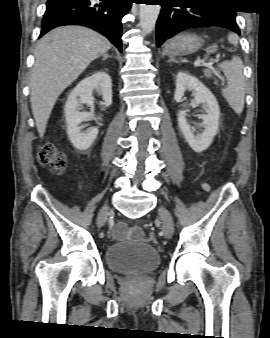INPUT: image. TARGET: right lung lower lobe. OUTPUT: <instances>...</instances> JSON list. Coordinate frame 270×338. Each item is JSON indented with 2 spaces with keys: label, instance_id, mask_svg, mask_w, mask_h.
Instances as JSON below:
<instances>
[{
  "label": "right lung lower lobe",
  "instance_id": "1",
  "mask_svg": "<svg viewBox=\"0 0 270 338\" xmlns=\"http://www.w3.org/2000/svg\"><path fill=\"white\" fill-rule=\"evenodd\" d=\"M133 1L48 0L40 37L58 26L81 25L105 35L121 52V19L130 10Z\"/></svg>",
  "mask_w": 270,
  "mask_h": 338
}]
</instances>
